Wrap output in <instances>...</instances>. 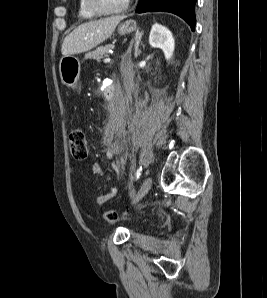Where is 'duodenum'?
<instances>
[{"label":"duodenum","mask_w":267,"mask_h":298,"mask_svg":"<svg viewBox=\"0 0 267 298\" xmlns=\"http://www.w3.org/2000/svg\"><path fill=\"white\" fill-rule=\"evenodd\" d=\"M115 86H118V83L116 82L115 78L110 77L108 80V85H107L106 91H105V96L107 98L114 97ZM105 105H110V101L105 100Z\"/></svg>","instance_id":"obj_1"}]
</instances>
